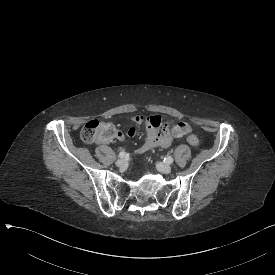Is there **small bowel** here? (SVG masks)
Listing matches in <instances>:
<instances>
[{
	"instance_id": "small-bowel-1",
	"label": "small bowel",
	"mask_w": 275,
	"mask_h": 275,
	"mask_svg": "<svg viewBox=\"0 0 275 275\" xmlns=\"http://www.w3.org/2000/svg\"><path fill=\"white\" fill-rule=\"evenodd\" d=\"M135 125H145V140L135 150L136 154H144L154 148H166L176 138L183 137L190 131V125L187 122L162 121L159 113H154L151 117L137 114L132 117ZM137 134L135 127H131L127 131L128 137H134ZM118 139H125V132H118Z\"/></svg>"
}]
</instances>
